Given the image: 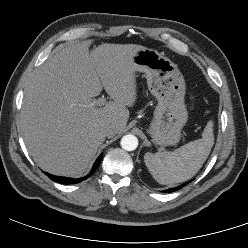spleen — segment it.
Listing matches in <instances>:
<instances>
[{"instance_id":"1","label":"spleen","mask_w":248,"mask_h":248,"mask_svg":"<svg viewBox=\"0 0 248 248\" xmlns=\"http://www.w3.org/2000/svg\"><path fill=\"white\" fill-rule=\"evenodd\" d=\"M213 121H209L202 138L191 141L173 152L146 153L144 162L160 184L181 183L191 179L202 167L214 144Z\"/></svg>"}]
</instances>
